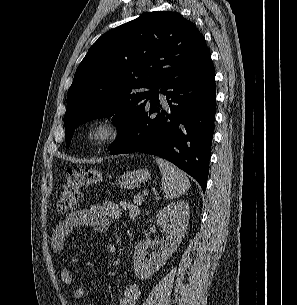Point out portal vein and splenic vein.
<instances>
[{"instance_id": "18ae733b", "label": "portal vein and splenic vein", "mask_w": 297, "mask_h": 305, "mask_svg": "<svg viewBox=\"0 0 297 305\" xmlns=\"http://www.w3.org/2000/svg\"><path fill=\"white\" fill-rule=\"evenodd\" d=\"M147 194V192H144V195H146Z\"/></svg>"}]
</instances>
